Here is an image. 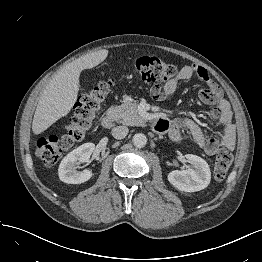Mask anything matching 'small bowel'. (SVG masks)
<instances>
[{
	"label": "small bowel",
	"mask_w": 262,
	"mask_h": 262,
	"mask_svg": "<svg viewBox=\"0 0 262 262\" xmlns=\"http://www.w3.org/2000/svg\"><path fill=\"white\" fill-rule=\"evenodd\" d=\"M194 75H197L206 84V88L200 92V98L203 102L213 106L210 116L220 121L222 125L221 136H208L190 117H179L172 121L160 119L158 130L167 133L168 137L174 142H182L184 140L182 130H187L194 143L203 148L205 153L210 156L216 154L220 148L233 150L235 130L231 122L229 102L224 97L220 87L210 78L205 68L195 64L181 67L178 76L165 83L164 97L173 94L179 82L188 80Z\"/></svg>",
	"instance_id": "c3829d8e"
}]
</instances>
